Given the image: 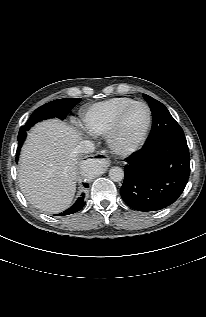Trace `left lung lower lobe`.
Masks as SVG:
<instances>
[{"instance_id":"1","label":"left lung lower lobe","mask_w":206,"mask_h":317,"mask_svg":"<svg viewBox=\"0 0 206 317\" xmlns=\"http://www.w3.org/2000/svg\"><path fill=\"white\" fill-rule=\"evenodd\" d=\"M120 194L138 211L160 210L174 203L190 173L187 142L165 140L146 145L126 158Z\"/></svg>"}]
</instances>
